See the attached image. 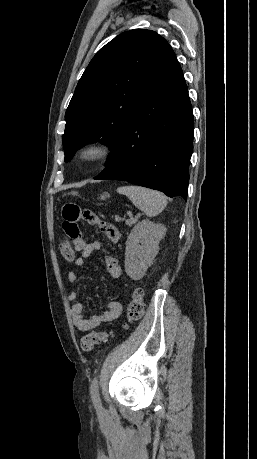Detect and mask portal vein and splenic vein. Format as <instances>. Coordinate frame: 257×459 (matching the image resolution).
Returning <instances> with one entry per match:
<instances>
[{
	"mask_svg": "<svg viewBox=\"0 0 257 459\" xmlns=\"http://www.w3.org/2000/svg\"><path fill=\"white\" fill-rule=\"evenodd\" d=\"M133 222H134V220H132V221L131 220H126V224H128V225L132 224Z\"/></svg>",
	"mask_w": 257,
	"mask_h": 459,
	"instance_id": "obj_1",
	"label": "portal vein and splenic vein"
}]
</instances>
